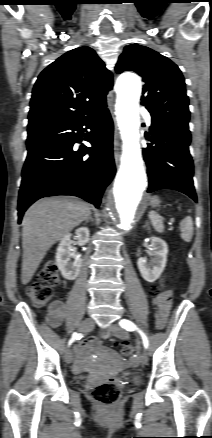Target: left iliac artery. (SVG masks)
<instances>
[{
	"label": "left iliac artery",
	"instance_id": "obj_1",
	"mask_svg": "<svg viewBox=\"0 0 212 438\" xmlns=\"http://www.w3.org/2000/svg\"><path fill=\"white\" fill-rule=\"evenodd\" d=\"M119 325L122 328L126 329L127 331H135V330H137L139 332V334L141 335V337H142L144 348L145 349L148 348L149 341H148L147 336L140 329H138L137 326L133 322H131L129 320H126V319H123V320H121L119 322Z\"/></svg>",
	"mask_w": 212,
	"mask_h": 438
}]
</instances>
